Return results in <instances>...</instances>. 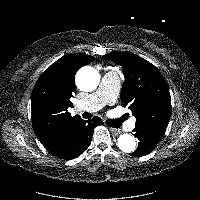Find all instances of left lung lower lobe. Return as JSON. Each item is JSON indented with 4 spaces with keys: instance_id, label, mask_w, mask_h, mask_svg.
I'll use <instances>...</instances> for the list:
<instances>
[{
    "instance_id": "0a47b994",
    "label": "left lung lower lobe",
    "mask_w": 200,
    "mask_h": 200,
    "mask_svg": "<svg viewBox=\"0 0 200 200\" xmlns=\"http://www.w3.org/2000/svg\"><path fill=\"white\" fill-rule=\"evenodd\" d=\"M134 132L135 137H137L139 140L138 148L131 154L135 157L143 156L150 153L161 139L149 130L135 128Z\"/></svg>"
}]
</instances>
